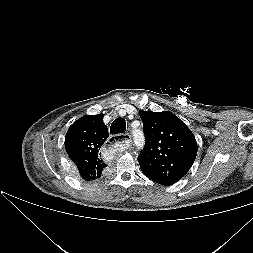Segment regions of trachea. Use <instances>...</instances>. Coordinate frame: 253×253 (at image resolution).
Returning a JSON list of instances; mask_svg holds the SVG:
<instances>
[{
    "label": "trachea",
    "instance_id": "trachea-1",
    "mask_svg": "<svg viewBox=\"0 0 253 253\" xmlns=\"http://www.w3.org/2000/svg\"><path fill=\"white\" fill-rule=\"evenodd\" d=\"M126 131V122L123 118H117L114 120L110 127V133L113 135L123 134Z\"/></svg>",
    "mask_w": 253,
    "mask_h": 253
}]
</instances>
